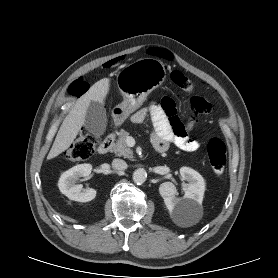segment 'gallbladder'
Segmentation results:
<instances>
[{
  "label": "gallbladder",
  "instance_id": "gallbladder-1",
  "mask_svg": "<svg viewBox=\"0 0 278 278\" xmlns=\"http://www.w3.org/2000/svg\"><path fill=\"white\" fill-rule=\"evenodd\" d=\"M107 116L102 104L91 102L85 116L84 128L93 137L99 138L106 131Z\"/></svg>",
  "mask_w": 278,
  "mask_h": 278
}]
</instances>
